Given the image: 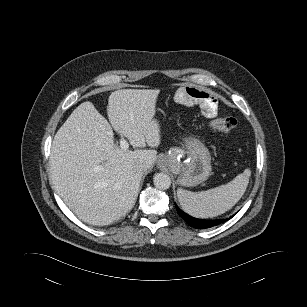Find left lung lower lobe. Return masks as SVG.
I'll list each match as a JSON object with an SVG mask.
<instances>
[{
    "label": "left lung lower lobe",
    "instance_id": "0a47b994",
    "mask_svg": "<svg viewBox=\"0 0 307 307\" xmlns=\"http://www.w3.org/2000/svg\"><path fill=\"white\" fill-rule=\"evenodd\" d=\"M176 205V204H175ZM176 209L178 214L180 215L181 218H183L190 226L197 228V229H206V228H211L213 226H217L223 222H226L227 219H220V220H203V219H197L194 217H191L190 215L184 213L181 211L178 206L176 205Z\"/></svg>",
    "mask_w": 307,
    "mask_h": 307
}]
</instances>
